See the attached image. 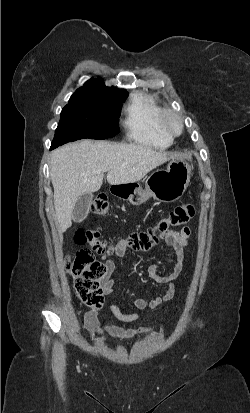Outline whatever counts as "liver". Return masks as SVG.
<instances>
[{
  "mask_svg": "<svg viewBox=\"0 0 250 413\" xmlns=\"http://www.w3.org/2000/svg\"><path fill=\"white\" fill-rule=\"evenodd\" d=\"M177 154L156 151L142 144L110 143L89 139L66 144L51 153V182L60 232L72 225V213L85 193L98 191L103 183L119 185L141 180L148 172Z\"/></svg>",
  "mask_w": 250,
  "mask_h": 413,
  "instance_id": "obj_1",
  "label": "liver"
}]
</instances>
